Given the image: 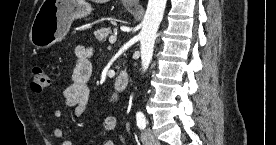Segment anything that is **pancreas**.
I'll list each match as a JSON object with an SVG mask.
<instances>
[{"label": "pancreas", "instance_id": "pancreas-1", "mask_svg": "<svg viewBox=\"0 0 276 145\" xmlns=\"http://www.w3.org/2000/svg\"><path fill=\"white\" fill-rule=\"evenodd\" d=\"M111 33H112V30L110 27L101 28L95 31L94 36H95V39H97L99 42H105Z\"/></svg>", "mask_w": 276, "mask_h": 145}]
</instances>
